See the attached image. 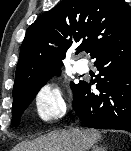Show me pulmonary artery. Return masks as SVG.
<instances>
[{
	"mask_svg": "<svg viewBox=\"0 0 131 151\" xmlns=\"http://www.w3.org/2000/svg\"><path fill=\"white\" fill-rule=\"evenodd\" d=\"M74 69L78 73H85L88 70V65L83 61H76L74 63Z\"/></svg>",
	"mask_w": 131,
	"mask_h": 151,
	"instance_id": "e3ab8cb5",
	"label": "pulmonary artery"
}]
</instances>
